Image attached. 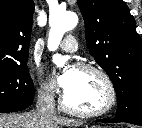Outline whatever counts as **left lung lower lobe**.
I'll list each match as a JSON object with an SVG mask.
<instances>
[{"label": "left lung lower lobe", "mask_w": 142, "mask_h": 128, "mask_svg": "<svg viewBox=\"0 0 142 128\" xmlns=\"http://www.w3.org/2000/svg\"><path fill=\"white\" fill-rule=\"evenodd\" d=\"M98 122H107V123H115V122H126V123H132L135 125L142 126V118H114L113 120H105V119H99Z\"/></svg>", "instance_id": "0a47b994"}]
</instances>
